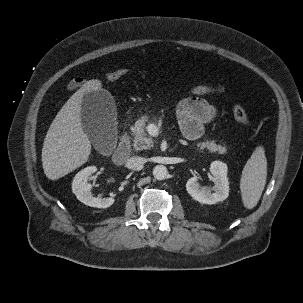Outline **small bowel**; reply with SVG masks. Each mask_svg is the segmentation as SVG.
Segmentation results:
<instances>
[{"instance_id": "1", "label": "small bowel", "mask_w": 303, "mask_h": 303, "mask_svg": "<svg viewBox=\"0 0 303 303\" xmlns=\"http://www.w3.org/2000/svg\"><path fill=\"white\" fill-rule=\"evenodd\" d=\"M84 82L85 80L81 77L73 78L68 83V89H78ZM222 92V87L197 86L191 91L190 96L179 102L176 115L181 132L186 139L201 138L205 127L218 118V109L205 101L204 96Z\"/></svg>"}]
</instances>
